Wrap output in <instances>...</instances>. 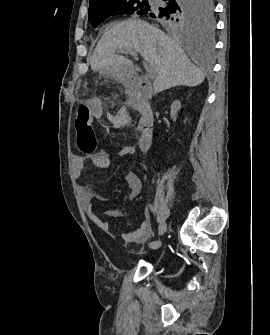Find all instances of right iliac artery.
<instances>
[{
  "mask_svg": "<svg viewBox=\"0 0 270 335\" xmlns=\"http://www.w3.org/2000/svg\"><path fill=\"white\" fill-rule=\"evenodd\" d=\"M149 207L152 211H154L152 205H149ZM160 246H161V241H152L149 243V247L152 249H157Z\"/></svg>",
  "mask_w": 270,
  "mask_h": 335,
  "instance_id": "obj_1",
  "label": "right iliac artery"
}]
</instances>
